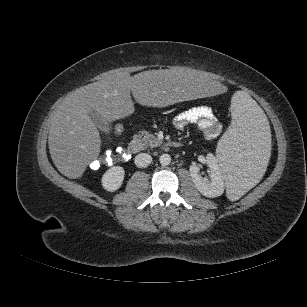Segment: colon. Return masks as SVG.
I'll return each instance as SVG.
<instances>
[{"label":"colon","mask_w":307,"mask_h":307,"mask_svg":"<svg viewBox=\"0 0 307 307\" xmlns=\"http://www.w3.org/2000/svg\"><path fill=\"white\" fill-rule=\"evenodd\" d=\"M114 133L118 136H122L124 134V127L120 124L114 127ZM127 155V147L124 142H121L117 145V147L108 150L102 153L97 158L93 159L90 162V167L92 169H99L103 166H113L120 161L124 160Z\"/></svg>","instance_id":"obj_1"}]
</instances>
